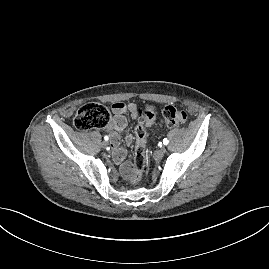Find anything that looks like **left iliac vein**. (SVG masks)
Returning <instances> with one entry per match:
<instances>
[{
	"label": "left iliac vein",
	"mask_w": 269,
	"mask_h": 269,
	"mask_svg": "<svg viewBox=\"0 0 269 269\" xmlns=\"http://www.w3.org/2000/svg\"><path fill=\"white\" fill-rule=\"evenodd\" d=\"M165 152H166V150L165 149H160L159 151H157V152H151V157H153L156 161H160L162 158H163V156L165 155Z\"/></svg>",
	"instance_id": "left-iliac-vein-1"
}]
</instances>
